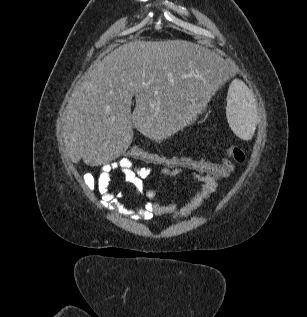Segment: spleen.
Instances as JSON below:
<instances>
[{
  "instance_id": "3e777b00",
  "label": "spleen",
  "mask_w": 307,
  "mask_h": 317,
  "mask_svg": "<svg viewBox=\"0 0 307 317\" xmlns=\"http://www.w3.org/2000/svg\"><path fill=\"white\" fill-rule=\"evenodd\" d=\"M227 119L232 131L243 140H250L257 125V107L250 90L234 80L227 97Z\"/></svg>"
}]
</instances>
